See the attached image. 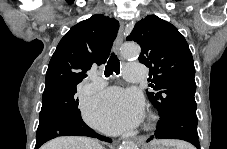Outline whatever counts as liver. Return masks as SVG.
Returning a JSON list of instances; mask_svg holds the SVG:
<instances>
[{"label": "liver", "mask_w": 227, "mask_h": 149, "mask_svg": "<svg viewBox=\"0 0 227 149\" xmlns=\"http://www.w3.org/2000/svg\"><path fill=\"white\" fill-rule=\"evenodd\" d=\"M41 149H103V147L91 138L65 136L49 141Z\"/></svg>", "instance_id": "6515ba94"}]
</instances>
